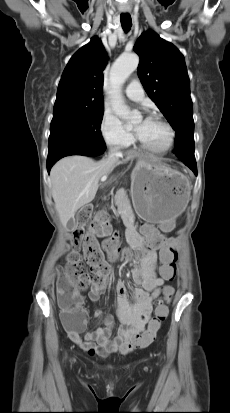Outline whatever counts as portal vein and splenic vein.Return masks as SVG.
<instances>
[{
    "instance_id": "18ae733b",
    "label": "portal vein and splenic vein",
    "mask_w": 230,
    "mask_h": 413,
    "mask_svg": "<svg viewBox=\"0 0 230 413\" xmlns=\"http://www.w3.org/2000/svg\"><path fill=\"white\" fill-rule=\"evenodd\" d=\"M106 180H107V176H102V177H101V181H102V182H104V181H106Z\"/></svg>"
}]
</instances>
